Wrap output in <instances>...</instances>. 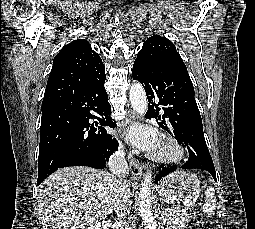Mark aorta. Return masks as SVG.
I'll list each match as a JSON object with an SVG mask.
<instances>
[{"label": "aorta", "mask_w": 255, "mask_h": 229, "mask_svg": "<svg viewBox=\"0 0 255 229\" xmlns=\"http://www.w3.org/2000/svg\"><path fill=\"white\" fill-rule=\"evenodd\" d=\"M129 99L135 112L140 115L146 114L148 109V101L145 90L140 82L134 81L132 83L129 91ZM151 185L152 175L151 172H147L143 176L138 199L139 214L143 220L145 229H157V222L152 214L151 207Z\"/></svg>", "instance_id": "762f6f07"}]
</instances>
